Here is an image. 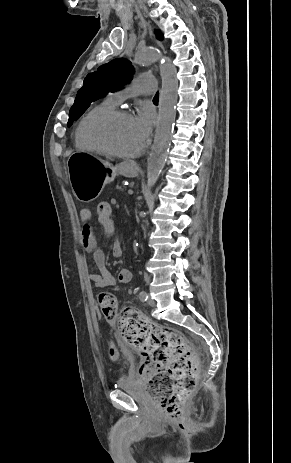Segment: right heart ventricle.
<instances>
[{"label": "right heart ventricle", "mask_w": 291, "mask_h": 463, "mask_svg": "<svg viewBox=\"0 0 291 463\" xmlns=\"http://www.w3.org/2000/svg\"><path fill=\"white\" fill-rule=\"evenodd\" d=\"M115 108V103H113L110 98L101 101L100 103L92 106L88 109L83 116L79 119L76 124L74 131V141L77 148L81 150L93 151L92 148L84 138V128L87 122L96 115L106 113Z\"/></svg>", "instance_id": "obj_1"}]
</instances>
